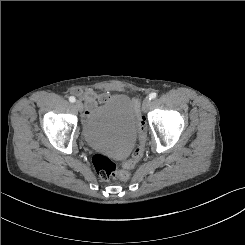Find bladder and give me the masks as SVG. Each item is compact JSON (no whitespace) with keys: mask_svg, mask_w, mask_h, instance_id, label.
<instances>
[{"mask_svg":"<svg viewBox=\"0 0 245 245\" xmlns=\"http://www.w3.org/2000/svg\"><path fill=\"white\" fill-rule=\"evenodd\" d=\"M137 109L126 94H116L83 123L82 136L91 148L117 157L130 153L136 141Z\"/></svg>","mask_w":245,"mask_h":245,"instance_id":"31cf9c89","label":"bladder"}]
</instances>
